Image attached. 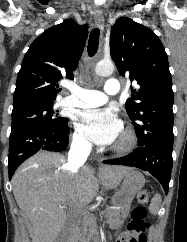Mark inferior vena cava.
Returning a JSON list of instances; mask_svg holds the SVG:
<instances>
[{
    "instance_id": "inferior-vena-cava-1",
    "label": "inferior vena cava",
    "mask_w": 187,
    "mask_h": 242,
    "mask_svg": "<svg viewBox=\"0 0 187 242\" xmlns=\"http://www.w3.org/2000/svg\"><path fill=\"white\" fill-rule=\"evenodd\" d=\"M91 150V144L84 140L74 141L68 153L67 169L71 173H76L85 163Z\"/></svg>"
}]
</instances>
